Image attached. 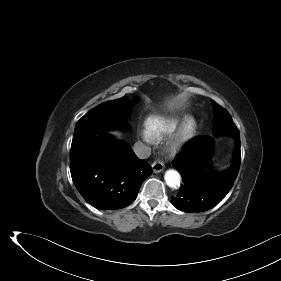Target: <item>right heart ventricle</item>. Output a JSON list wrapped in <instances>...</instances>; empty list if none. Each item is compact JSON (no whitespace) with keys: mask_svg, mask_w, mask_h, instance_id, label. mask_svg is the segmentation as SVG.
<instances>
[{"mask_svg":"<svg viewBox=\"0 0 281 281\" xmlns=\"http://www.w3.org/2000/svg\"><path fill=\"white\" fill-rule=\"evenodd\" d=\"M185 117L152 114L145 121V135L150 140H161L172 134Z\"/></svg>","mask_w":281,"mask_h":281,"instance_id":"obj_1","label":"right heart ventricle"}]
</instances>
